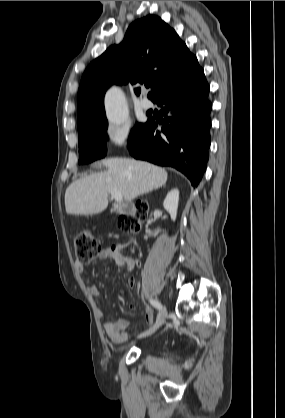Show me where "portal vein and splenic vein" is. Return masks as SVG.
Wrapping results in <instances>:
<instances>
[{
    "label": "portal vein and splenic vein",
    "mask_w": 285,
    "mask_h": 418,
    "mask_svg": "<svg viewBox=\"0 0 285 418\" xmlns=\"http://www.w3.org/2000/svg\"><path fill=\"white\" fill-rule=\"evenodd\" d=\"M110 194H111L112 197H114L116 202H121L122 201L123 196H122V193L120 191L113 190V191H110Z\"/></svg>",
    "instance_id": "1"
}]
</instances>
